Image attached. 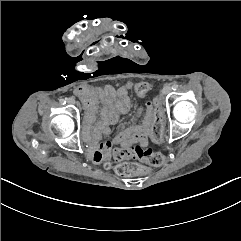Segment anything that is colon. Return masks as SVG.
Masks as SVG:
<instances>
[{"instance_id": "1", "label": "colon", "mask_w": 241, "mask_h": 241, "mask_svg": "<svg viewBox=\"0 0 241 241\" xmlns=\"http://www.w3.org/2000/svg\"><path fill=\"white\" fill-rule=\"evenodd\" d=\"M136 91L139 95L146 96L150 93L151 86L148 82L141 81L137 84ZM151 137L152 140L156 143L162 141L163 117L161 111H156L155 113V123L153 126ZM128 158H139L152 166H159L165 161L163 155L153 151L149 147H145L140 144L125 147L124 153H113V159L117 162ZM150 165L145 164L142 166L138 164H133L132 162H127L125 165L123 163L121 165H116L114 167V172L116 174H120L121 176H132L136 174L144 175L146 172H150L152 170V167ZM104 169L107 171L109 168L106 166Z\"/></svg>"}]
</instances>
